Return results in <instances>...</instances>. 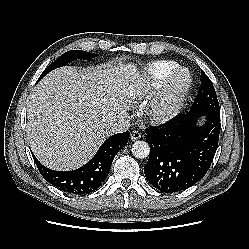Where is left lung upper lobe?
Instances as JSON below:
<instances>
[{
    "label": "left lung upper lobe",
    "mask_w": 249,
    "mask_h": 249,
    "mask_svg": "<svg viewBox=\"0 0 249 249\" xmlns=\"http://www.w3.org/2000/svg\"><path fill=\"white\" fill-rule=\"evenodd\" d=\"M190 112L220 113L214 86L204 71L201 73V86Z\"/></svg>",
    "instance_id": "left-lung-upper-lobe-1"
}]
</instances>
